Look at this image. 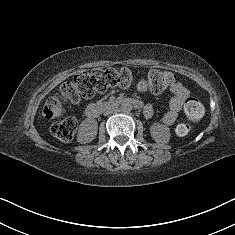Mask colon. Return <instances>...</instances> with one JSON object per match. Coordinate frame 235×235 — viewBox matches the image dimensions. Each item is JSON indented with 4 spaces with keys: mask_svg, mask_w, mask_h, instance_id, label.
<instances>
[{
    "mask_svg": "<svg viewBox=\"0 0 235 235\" xmlns=\"http://www.w3.org/2000/svg\"><path fill=\"white\" fill-rule=\"evenodd\" d=\"M133 76L128 69H96L80 72L71 81L65 82L60 88L63 99L78 104L82 99H89L98 93L108 89L119 87L127 88L132 84ZM175 82V76L170 71L153 69L146 77L138 81V88L142 91L149 90L152 93H161ZM184 112L191 121H197L203 114L201 103L195 98H188L184 104ZM47 119H57L52 125V134L59 140L71 141L77 129V122L73 117L63 116V105L58 96H50L43 108ZM189 131V126L181 124L177 133L184 135Z\"/></svg>",
    "mask_w": 235,
    "mask_h": 235,
    "instance_id": "obj_1",
    "label": "colon"
}]
</instances>
